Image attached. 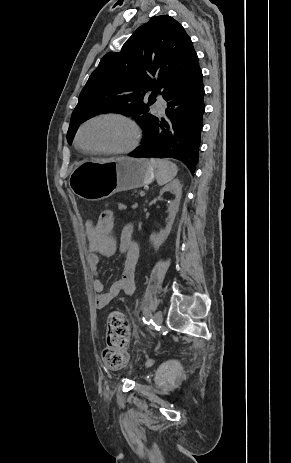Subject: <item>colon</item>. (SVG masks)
Returning <instances> with one entry per match:
<instances>
[{"label": "colon", "instance_id": "obj_1", "mask_svg": "<svg viewBox=\"0 0 291 463\" xmlns=\"http://www.w3.org/2000/svg\"><path fill=\"white\" fill-rule=\"evenodd\" d=\"M114 227V212L109 207H102L98 214V231L104 233ZM129 340V326L121 312L114 311L107 318V343L103 349L102 359L105 367L112 370L121 369L128 360L126 348Z\"/></svg>", "mask_w": 291, "mask_h": 463}]
</instances>
